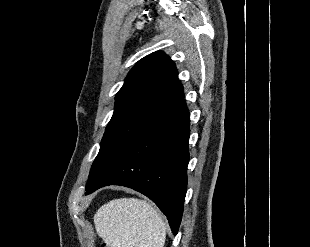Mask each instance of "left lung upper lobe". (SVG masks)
<instances>
[{"mask_svg":"<svg viewBox=\"0 0 310 247\" xmlns=\"http://www.w3.org/2000/svg\"><path fill=\"white\" fill-rule=\"evenodd\" d=\"M183 92L176 66L165 53L156 51L135 64L116 94L115 110L91 167L86 190L150 124L183 99Z\"/></svg>","mask_w":310,"mask_h":247,"instance_id":"5c2ea615","label":"left lung upper lobe"}]
</instances>
